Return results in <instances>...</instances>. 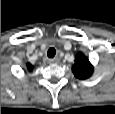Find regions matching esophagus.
<instances>
[{
	"instance_id": "obj_1",
	"label": "esophagus",
	"mask_w": 115,
	"mask_h": 114,
	"mask_svg": "<svg viewBox=\"0 0 115 114\" xmlns=\"http://www.w3.org/2000/svg\"><path fill=\"white\" fill-rule=\"evenodd\" d=\"M48 62L49 63H58L59 59L57 57H55V58H52V59H48Z\"/></svg>"
}]
</instances>
